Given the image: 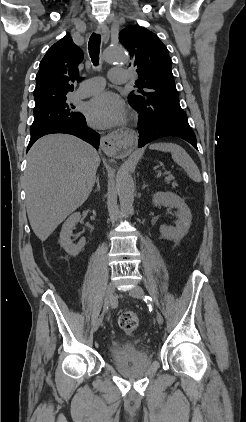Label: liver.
I'll return each instance as SVG.
<instances>
[{"label": "liver", "mask_w": 246, "mask_h": 422, "mask_svg": "<svg viewBox=\"0 0 246 422\" xmlns=\"http://www.w3.org/2000/svg\"><path fill=\"white\" fill-rule=\"evenodd\" d=\"M99 164L95 149L72 135H47L31 147L24 174L26 210L41 241L87 200Z\"/></svg>", "instance_id": "6515ba94"}]
</instances>
